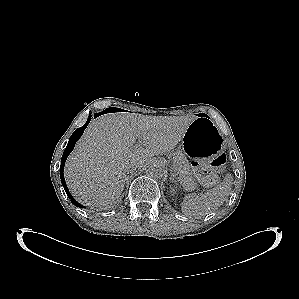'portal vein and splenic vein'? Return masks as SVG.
I'll return each mask as SVG.
<instances>
[{
	"instance_id": "1",
	"label": "portal vein and splenic vein",
	"mask_w": 299,
	"mask_h": 299,
	"mask_svg": "<svg viewBox=\"0 0 299 299\" xmlns=\"http://www.w3.org/2000/svg\"><path fill=\"white\" fill-rule=\"evenodd\" d=\"M141 143H142V142H141V141H139V144H138V145H136V147H140V146H141Z\"/></svg>"
}]
</instances>
